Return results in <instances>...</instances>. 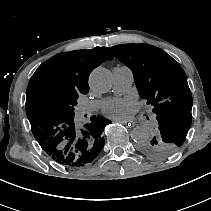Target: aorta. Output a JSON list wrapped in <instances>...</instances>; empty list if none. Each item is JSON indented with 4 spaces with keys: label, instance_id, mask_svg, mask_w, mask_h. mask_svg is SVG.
Here are the masks:
<instances>
[{
    "label": "aorta",
    "instance_id": "762f6f07",
    "mask_svg": "<svg viewBox=\"0 0 211 211\" xmlns=\"http://www.w3.org/2000/svg\"><path fill=\"white\" fill-rule=\"evenodd\" d=\"M89 85L92 90L98 93H105L112 88L113 80L109 70L103 67L94 69L89 77ZM132 139L141 143L150 137L148 129L144 126H136L131 131Z\"/></svg>",
    "mask_w": 211,
    "mask_h": 211
}]
</instances>
